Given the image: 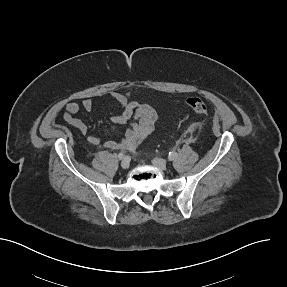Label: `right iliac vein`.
I'll use <instances>...</instances> for the list:
<instances>
[{
	"label": "right iliac vein",
	"mask_w": 287,
	"mask_h": 287,
	"mask_svg": "<svg viewBox=\"0 0 287 287\" xmlns=\"http://www.w3.org/2000/svg\"><path fill=\"white\" fill-rule=\"evenodd\" d=\"M129 166H130V163H129V161H128L127 159L122 160V162H121V167H122L123 169H128Z\"/></svg>",
	"instance_id": "obj_1"
}]
</instances>
